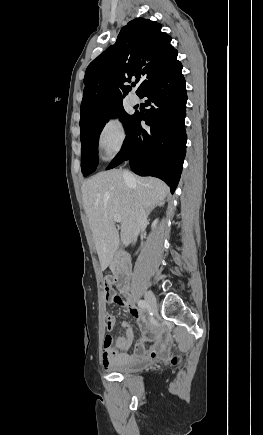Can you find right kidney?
Segmentation results:
<instances>
[{"instance_id":"1","label":"right kidney","mask_w":263,"mask_h":435,"mask_svg":"<svg viewBox=\"0 0 263 435\" xmlns=\"http://www.w3.org/2000/svg\"><path fill=\"white\" fill-rule=\"evenodd\" d=\"M157 222H158V220L156 219V220H154V222L152 223V228H155L156 227V225H157Z\"/></svg>"}]
</instances>
